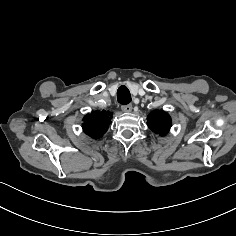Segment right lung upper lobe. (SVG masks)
Wrapping results in <instances>:
<instances>
[{"label":"right lung upper lobe","instance_id":"cb5924a9","mask_svg":"<svg viewBox=\"0 0 236 236\" xmlns=\"http://www.w3.org/2000/svg\"><path fill=\"white\" fill-rule=\"evenodd\" d=\"M112 118L110 111H94L84 116L83 130L94 139L101 138L107 131Z\"/></svg>","mask_w":236,"mask_h":236}]
</instances>
